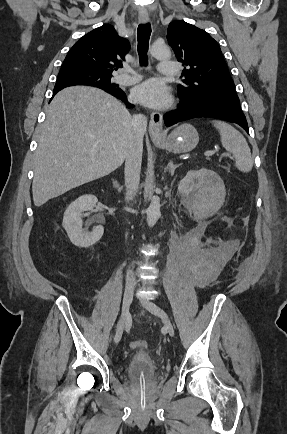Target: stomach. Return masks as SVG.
<instances>
[{
	"instance_id": "1",
	"label": "stomach",
	"mask_w": 287,
	"mask_h": 434,
	"mask_svg": "<svg viewBox=\"0 0 287 434\" xmlns=\"http://www.w3.org/2000/svg\"><path fill=\"white\" fill-rule=\"evenodd\" d=\"M198 142V132L189 124L180 125L163 140L153 139V143L156 146H160L173 153L189 152L197 146Z\"/></svg>"
}]
</instances>
